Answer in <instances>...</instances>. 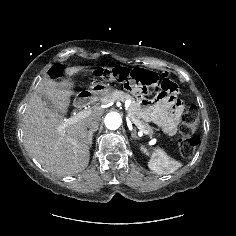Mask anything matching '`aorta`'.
<instances>
[{
    "label": "aorta",
    "instance_id": "aorta-1",
    "mask_svg": "<svg viewBox=\"0 0 236 236\" xmlns=\"http://www.w3.org/2000/svg\"><path fill=\"white\" fill-rule=\"evenodd\" d=\"M105 126L110 130H116L122 123V118L117 112H110L105 117Z\"/></svg>",
    "mask_w": 236,
    "mask_h": 236
}]
</instances>
